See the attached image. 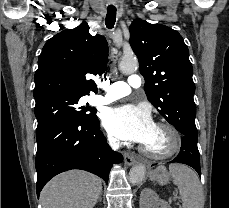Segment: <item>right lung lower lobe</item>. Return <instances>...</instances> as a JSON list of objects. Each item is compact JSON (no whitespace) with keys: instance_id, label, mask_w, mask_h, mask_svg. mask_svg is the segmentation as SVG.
<instances>
[{"instance_id":"98d812e1","label":"right lung lower lobe","mask_w":229,"mask_h":208,"mask_svg":"<svg viewBox=\"0 0 229 208\" xmlns=\"http://www.w3.org/2000/svg\"><path fill=\"white\" fill-rule=\"evenodd\" d=\"M37 196L55 175L71 170L89 171L108 183L113 163L122 156L110 149L99 120L87 122L77 118H63L36 134Z\"/></svg>"}]
</instances>
